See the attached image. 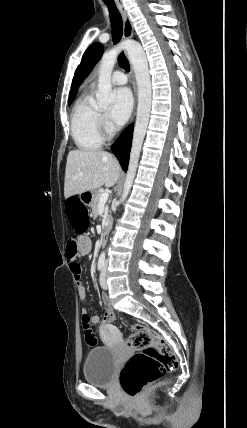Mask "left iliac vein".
Listing matches in <instances>:
<instances>
[{
    "mask_svg": "<svg viewBox=\"0 0 247 428\" xmlns=\"http://www.w3.org/2000/svg\"><path fill=\"white\" fill-rule=\"evenodd\" d=\"M106 271H107V263H105L101 275H100V285L103 289H107L108 288V284L106 281Z\"/></svg>",
    "mask_w": 247,
    "mask_h": 428,
    "instance_id": "obj_1",
    "label": "left iliac vein"
}]
</instances>
